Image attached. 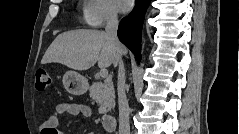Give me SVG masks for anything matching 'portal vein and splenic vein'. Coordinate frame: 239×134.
I'll list each match as a JSON object with an SVG mask.
<instances>
[{
	"mask_svg": "<svg viewBox=\"0 0 239 134\" xmlns=\"http://www.w3.org/2000/svg\"><path fill=\"white\" fill-rule=\"evenodd\" d=\"M100 76L102 77V78H106L107 76H108V71H107V69H101L100 70Z\"/></svg>",
	"mask_w": 239,
	"mask_h": 134,
	"instance_id": "1",
	"label": "portal vein and splenic vein"
}]
</instances>
